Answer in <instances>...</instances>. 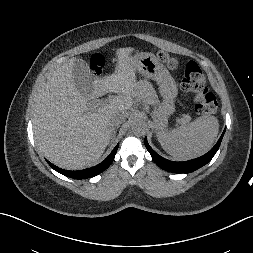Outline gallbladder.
<instances>
[{"mask_svg": "<svg viewBox=\"0 0 253 253\" xmlns=\"http://www.w3.org/2000/svg\"><path fill=\"white\" fill-rule=\"evenodd\" d=\"M73 80L77 90L86 97L93 91L89 67L84 61L76 60L73 69Z\"/></svg>", "mask_w": 253, "mask_h": 253, "instance_id": "gallbladder-1", "label": "gallbladder"}]
</instances>
